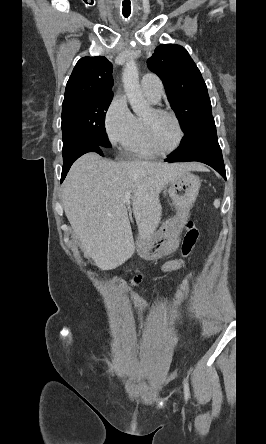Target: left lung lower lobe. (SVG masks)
I'll use <instances>...</instances> for the list:
<instances>
[{"label": "left lung lower lobe", "instance_id": "left-lung-lower-lobe-1", "mask_svg": "<svg viewBox=\"0 0 266 444\" xmlns=\"http://www.w3.org/2000/svg\"><path fill=\"white\" fill-rule=\"evenodd\" d=\"M167 162L199 161L214 168L226 180L225 166L213 117L193 127Z\"/></svg>", "mask_w": 266, "mask_h": 444}]
</instances>
